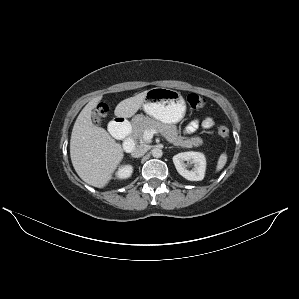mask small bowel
Wrapping results in <instances>:
<instances>
[{"label":"small bowel","instance_id":"small-bowel-1","mask_svg":"<svg viewBox=\"0 0 299 299\" xmlns=\"http://www.w3.org/2000/svg\"><path fill=\"white\" fill-rule=\"evenodd\" d=\"M213 125V119L210 117L205 118L202 121V126L204 128H210ZM199 127V122L198 121H193L189 125L185 127V132L186 133H192L194 132L197 128Z\"/></svg>","mask_w":299,"mask_h":299}]
</instances>
